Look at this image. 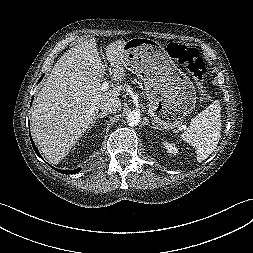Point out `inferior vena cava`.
Here are the masks:
<instances>
[{"instance_id":"inferior-vena-cava-1","label":"inferior vena cava","mask_w":253,"mask_h":253,"mask_svg":"<svg viewBox=\"0 0 253 253\" xmlns=\"http://www.w3.org/2000/svg\"><path fill=\"white\" fill-rule=\"evenodd\" d=\"M120 107L121 100H119L118 98H113L103 102L100 106V109L103 113L108 114L116 112L117 110H119Z\"/></svg>"}]
</instances>
